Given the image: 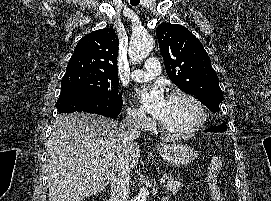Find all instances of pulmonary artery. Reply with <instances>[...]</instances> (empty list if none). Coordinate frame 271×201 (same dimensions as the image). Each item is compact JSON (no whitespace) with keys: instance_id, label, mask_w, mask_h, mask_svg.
<instances>
[{"instance_id":"pulmonary-artery-1","label":"pulmonary artery","mask_w":271,"mask_h":201,"mask_svg":"<svg viewBox=\"0 0 271 201\" xmlns=\"http://www.w3.org/2000/svg\"><path fill=\"white\" fill-rule=\"evenodd\" d=\"M161 72L160 62L157 58L151 57L146 60L144 69H136L131 72V79L137 82L148 81Z\"/></svg>"}]
</instances>
